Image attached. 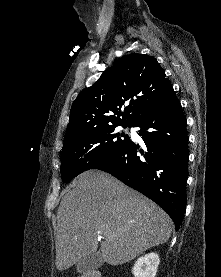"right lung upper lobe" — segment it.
<instances>
[{
    "label": "right lung upper lobe",
    "instance_id": "right-lung-upper-lobe-1",
    "mask_svg": "<svg viewBox=\"0 0 221 277\" xmlns=\"http://www.w3.org/2000/svg\"><path fill=\"white\" fill-rule=\"evenodd\" d=\"M171 90L155 58L138 53L124 56L75 99L65 140L99 126L131 125Z\"/></svg>",
    "mask_w": 221,
    "mask_h": 277
}]
</instances>
